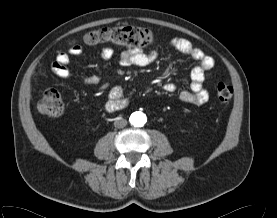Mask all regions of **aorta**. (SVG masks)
Returning <instances> with one entry per match:
<instances>
[{
	"label": "aorta",
	"instance_id": "762f6f07",
	"mask_svg": "<svg viewBox=\"0 0 277 218\" xmlns=\"http://www.w3.org/2000/svg\"><path fill=\"white\" fill-rule=\"evenodd\" d=\"M129 121L135 127H142L146 123L147 118L144 113L137 111L131 114Z\"/></svg>",
	"mask_w": 277,
	"mask_h": 218
}]
</instances>
